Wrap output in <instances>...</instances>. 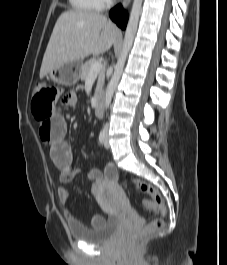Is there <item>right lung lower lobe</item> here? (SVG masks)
Segmentation results:
<instances>
[{
    "label": "right lung lower lobe",
    "mask_w": 227,
    "mask_h": 265,
    "mask_svg": "<svg viewBox=\"0 0 227 265\" xmlns=\"http://www.w3.org/2000/svg\"><path fill=\"white\" fill-rule=\"evenodd\" d=\"M110 17L119 27L125 29L128 17L121 5L116 6L110 11Z\"/></svg>",
    "instance_id": "98d812e1"
}]
</instances>
